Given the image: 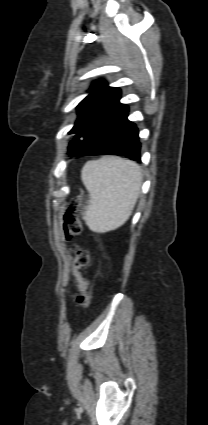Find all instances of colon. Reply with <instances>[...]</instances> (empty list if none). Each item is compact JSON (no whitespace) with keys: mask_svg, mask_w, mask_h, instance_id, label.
<instances>
[{"mask_svg":"<svg viewBox=\"0 0 208 425\" xmlns=\"http://www.w3.org/2000/svg\"><path fill=\"white\" fill-rule=\"evenodd\" d=\"M84 199V192L80 190V193L75 197L66 210L63 219L64 235L67 240L77 237L82 232L81 222V206ZM71 250L75 254V258L72 265V274L76 284L75 300L83 308H88L90 305V294H89V281L83 275V268L89 263L88 251L79 245H71Z\"/></svg>","mask_w":208,"mask_h":425,"instance_id":"colon-1","label":"colon"}]
</instances>
